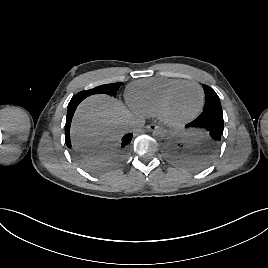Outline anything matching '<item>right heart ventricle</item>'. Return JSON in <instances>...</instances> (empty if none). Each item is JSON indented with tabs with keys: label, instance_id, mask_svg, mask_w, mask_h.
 Instances as JSON below:
<instances>
[{
	"label": "right heart ventricle",
	"instance_id": "obj_1",
	"mask_svg": "<svg viewBox=\"0 0 268 268\" xmlns=\"http://www.w3.org/2000/svg\"><path fill=\"white\" fill-rule=\"evenodd\" d=\"M185 80L177 78H149L138 80L127 88V100L137 112L146 116L158 115L165 95Z\"/></svg>",
	"mask_w": 268,
	"mask_h": 268
}]
</instances>
